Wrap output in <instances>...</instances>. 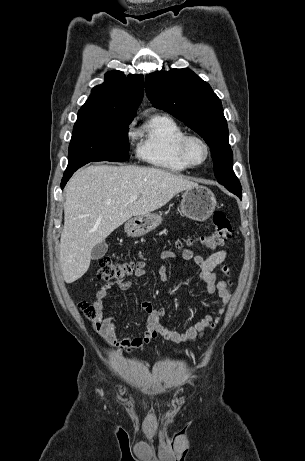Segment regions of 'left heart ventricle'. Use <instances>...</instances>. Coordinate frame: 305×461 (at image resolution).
Returning a JSON list of instances; mask_svg holds the SVG:
<instances>
[{"instance_id":"left-heart-ventricle-1","label":"left heart ventricle","mask_w":305,"mask_h":461,"mask_svg":"<svg viewBox=\"0 0 305 461\" xmlns=\"http://www.w3.org/2000/svg\"><path fill=\"white\" fill-rule=\"evenodd\" d=\"M189 155L194 162L198 163L204 159L205 150L199 142L192 141L189 145Z\"/></svg>"}]
</instances>
